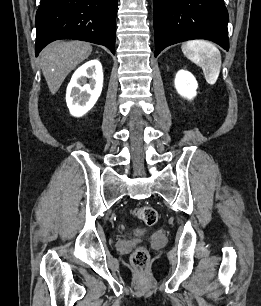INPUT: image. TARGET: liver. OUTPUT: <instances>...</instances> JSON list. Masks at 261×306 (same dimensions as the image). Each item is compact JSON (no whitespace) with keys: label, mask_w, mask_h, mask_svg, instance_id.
Here are the masks:
<instances>
[{"label":"liver","mask_w":261,"mask_h":306,"mask_svg":"<svg viewBox=\"0 0 261 306\" xmlns=\"http://www.w3.org/2000/svg\"><path fill=\"white\" fill-rule=\"evenodd\" d=\"M92 46L83 41H55L40 53V66L52 94H55L66 76L87 59Z\"/></svg>","instance_id":"6515ba94"}]
</instances>
